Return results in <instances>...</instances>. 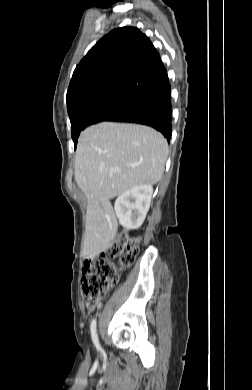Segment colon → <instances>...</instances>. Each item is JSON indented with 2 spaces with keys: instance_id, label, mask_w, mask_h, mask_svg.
Wrapping results in <instances>:
<instances>
[{
  "instance_id": "obj_1",
  "label": "colon",
  "mask_w": 252,
  "mask_h": 390,
  "mask_svg": "<svg viewBox=\"0 0 252 390\" xmlns=\"http://www.w3.org/2000/svg\"><path fill=\"white\" fill-rule=\"evenodd\" d=\"M139 238L118 236L98 258L88 260L82 269V291L88 307H95L117 281L114 259L120 257L121 266L134 263L139 248Z\"/></svg>"
}]
</instances>
